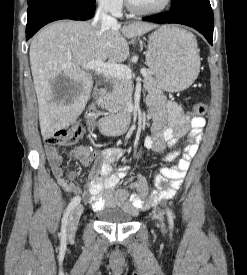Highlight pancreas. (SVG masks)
<instances>
[{
    "instance_id": "pancreas-1",
    "label": "pancreas",
    "mask_w": 247,
    "mask_h": 275,
    "mask_svg": "<svg viewBox=\"0 0 247 275\" xmlns=\"http://www.w3.org/2000/svg\"><path fill=\"white\" fill-rule=\"evenodd\" d=\"M112 91L109 92L101 101V106L110 113H125L127 105L132 97V83L127 79H113ZM144 88L148 93H162L156 80L148 73L143 80Z\"/></svg>"
}]
</instances>
